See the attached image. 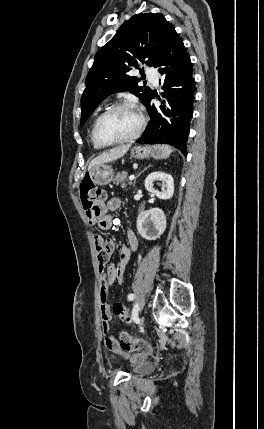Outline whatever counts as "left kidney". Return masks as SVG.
I'll list each match as a JSON object with an SVG mask.
<instances>
[{
  "label": "left kidney",
  "mask_w": 264,
  "mask_h": 429,
  "mask_svg": "<svg viewBox=\"0 0 264 429\" xmlns=\"http://www.w3.org/2000/svg\"><path fill=\"white\" fill-rule=\"evenodd\" d=\"M162 181L165 189L161 191L154 189L155 181ZM145 188L148 192L156 195L159 199L167 200L173 196L174 180L170 174L155 171L145 179ZM166 229V217L162 209L151 208L143 211L137 218V231L146 240H156Z\"/></svg>",
  "instance_id": "obj_1"
}]
</instances>
